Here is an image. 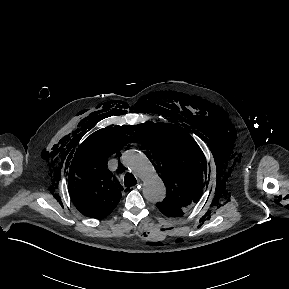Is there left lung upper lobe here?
<instances>
[{
    "label": "left lung upper lobe",
    "mask_w": 289,
    "mask_h": 289,
    "mask_svg": "<svg viewBox=\"0 0 289 289\" xmlns=\"http://www.w3.org/2000/svg\"><path fill=\"white\" fill-rule=\"evenodd\" d=\"M141 149L167 189L166 198L157 203L160 211L183 215L201 197L207 178L205 156L187 131L172 124H141Z\"/></svg>",
    "instance_id": "left-lung-upper-lobe-1"
}]
</instances>
